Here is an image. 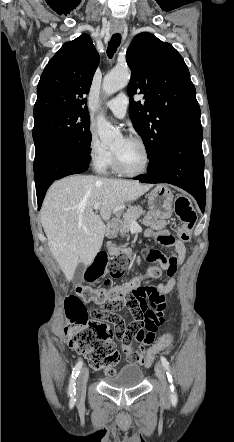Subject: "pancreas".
Wrapping results in <instances>:
<instances>
[{
    "label": "pancreas",
    "mask_w": 234,
    "mask_h": 442,
    "mask_svg": "<svg viewBox=\"0 0 234 442\" xmlns=\"http://www.w3.org/2000/svg\"><path fill=\"white\" fill-rule=\"evenodd\" d=\"M145 214V211L142 209L141 206H132L128 208L126 212V216H124L123 220H119V232L122 236L126 235L130 230V224L131 222H136V220L142 215ZM109 247V251L114 254L116 249L113 247V245L109 242L107 243Z\"/></svg>",
    "instance_id": "1"
}]
</instances>
